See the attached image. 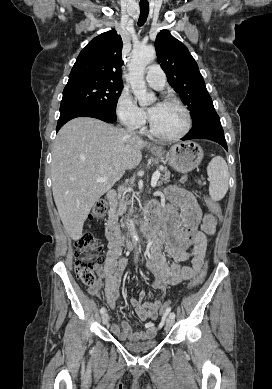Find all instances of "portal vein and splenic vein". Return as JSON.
<instances>
[{"instance_id":"obj_1","label":"portal vein and splenic vein","mask_w":272,"mask_h":389,"mask_svg":"<svg viewBox=\"0 0 272 389\" xmlns=\"http://www.w3.org/2000/svg\"><path fill=\"white\" fill-rule=\"evenodd\" d=\"M160 178V172L159 171H156L153 175H152V179H151V186L152 187H155L157 185V182ZM106 179L105 178H98L97 179V182H105Z\"/></svg>"}]
</instances>
